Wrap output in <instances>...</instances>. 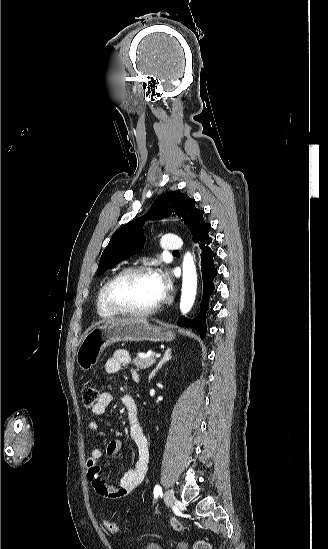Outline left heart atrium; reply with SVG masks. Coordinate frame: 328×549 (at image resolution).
Returning <instances> with one entry per match:
<instances>
[{
	"instance_id": "1",
	"label": "left heart atrium",
	"mask_w": 328,
	"mask_h": 549,
	"mask_svg": "<svg viewBox=\"0 0 328 549\" xmlns=\"http://www.w3.org/2000/svg\"><path fill=\"white\" fill-rule=\"evenodd\" d=\"M155 277L159 293L161 297H164L172 287L170 275L166 271L158 270Z\"/></svg>"
}]
</instances>
